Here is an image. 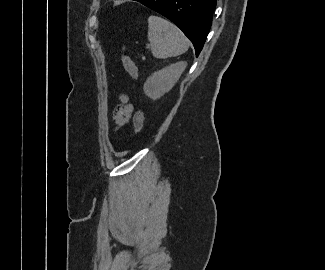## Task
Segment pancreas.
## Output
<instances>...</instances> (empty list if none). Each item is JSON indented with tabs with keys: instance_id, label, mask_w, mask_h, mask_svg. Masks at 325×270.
I'll return each mask as SVG.
<instances>
[{
	"instance_id": "obj_1",
	"label": "pancreas",
	"mask_w": 325,
	"mask_h": 270,
	"mask_svg": "<svg viewBox=\"0 0 325 270\" xmlns=\"http://www.w3.org/2000/svg\"><path fill=\"white\" fill-rule=\"evenodd\" d=\"M142 60H145V57H142Z\"/></svg>"
}]
</instances>
